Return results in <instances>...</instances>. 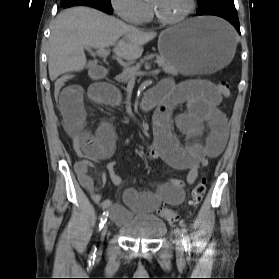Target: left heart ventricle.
Wrapping results in <instances>:
<instances>
[{
	"instance_id": "obj_1",
	"label": "left heart ventricle",
	"mask_w": 279,
	"mask_h": 279,
	"mask_svg": "<svg viewBox=\"0 0 279 279\" xmlns=\"http://www.w3.org/2000/svg\"><path fill=\"white\" fill-rule=\"evenodd\" d=\"M165 18H176L189 7V0H149Z\"/></svg>"
}]
</instances>
